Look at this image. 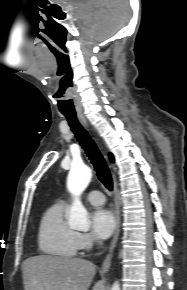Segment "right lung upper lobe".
Instances as JSON below:
<instances>
[{"instance_id":"1","label":"right lung upper lobe","mask_w":187,"mask_h":290,"mask_svg":"<svg viewBox=\"0 0 187 290\" xmlns=\"http://www.w3.org/2000/svg\"><path fill=\"white\" fill-rule=\"evenodd\" d=\"M109 157L111 161H114L113 155L111 153L109 154Z\"/></svg>"}]
</instances>
